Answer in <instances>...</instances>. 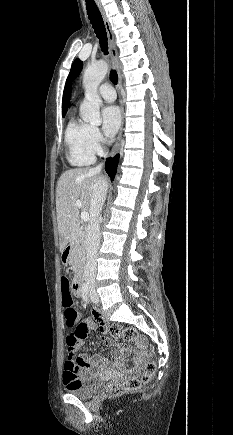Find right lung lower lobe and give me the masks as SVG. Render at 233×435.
I'll return each mask as SVG.
<instances>
[{"label":"right lung lower lobe","instance_id":"98d812e1","mask_svg":"<svg viewBox=\"0 0 233 435\" xmlns=\"http://www.w3.org/2000/svg\"><path fill=\"white\" fill-rule=\"evenodd\" d=\"M118 161H119V155H116L113 158H108L105 163V170L109 175V177L111 178V180H113L115 177Z\"/></svg>","mask_w":233,"mask_h":435}]
</instances>
